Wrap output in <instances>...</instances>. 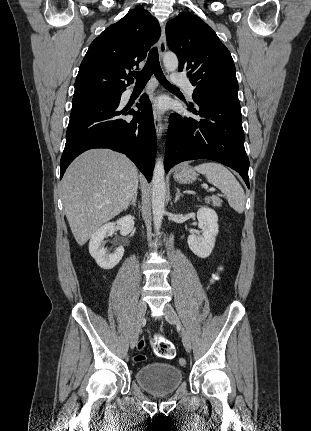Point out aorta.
Instances as JSON below:
<instances>
[{
    "mask_svg": "<svg viewBox=\"0 0 311 431\" xmlns=\"http://www.w3.org/2000/svg\"><path fill=\"white\" fill-rule=\"evenodd\" d=\"M165 70L175 72L178 68V58L173 52H166L163 58ZM152 214L155 231H159L165 214L166 182L163 158H156L152 176Z\"/></svg>",
    "mask_w": 311,
    "mask_h": 431,
    "instance_id": "aorta-1",
    "label": "aorta"
}]
</instances>
